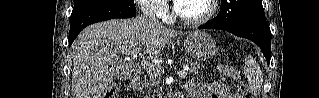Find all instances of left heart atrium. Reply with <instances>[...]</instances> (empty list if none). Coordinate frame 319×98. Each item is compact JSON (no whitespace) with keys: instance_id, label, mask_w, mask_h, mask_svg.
<instances>
[{"instance_id":"1","label":"left heart atrium","mask_w":319,"mask_h":98,"mask_svg":"<svg viewBox=\"0 0 319 98\" xmlns=\"http://www.w3.org/2000/svg\"><path fill=\"white\" fill-rule=\"evenodd\" d=\"M184 0H173V5L176 8H179Z\"/></svg>"}]
</instances>
